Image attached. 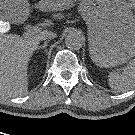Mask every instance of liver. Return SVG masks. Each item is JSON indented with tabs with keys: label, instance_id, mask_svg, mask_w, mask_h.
Wrapping results in <instances>:
<instances>
[{
	"label": "liver",
	"instance_id": "6515ba94",
	"mask_svg": "<svg viewBox=\"0 0 135 135\" xmlns=\"http://www.w3.org/2000/svg\"><path fill=\"white\" fill-rule=\"evenodd\" d=\"M4 27L0 23V96L19 97L28 90V63L39 47L41 32L20 37L4 33Z\"/></svg>",
	"mask_w": 135,
	"mask_h": 135
}]
</instances>
